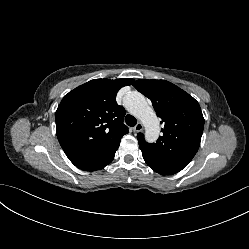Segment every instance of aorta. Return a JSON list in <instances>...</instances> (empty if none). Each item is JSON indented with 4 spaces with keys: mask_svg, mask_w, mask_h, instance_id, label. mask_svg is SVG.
Instances as JSON below:
<instances>
[{
    "mask_svg": "<svg viewBox=\"0 0 249 249\" xmlns=\"http://www.w3.org/2000/svg\"><path fill=\"white\" fill-rule=\"evenodd\" d=\"M125 105L132 115L143 122L147 141H156L160 134V123L155 111L148 105L145 97L137 91L131 92L126 96Z\"/></svg>",
    "mask_w": 249,
    "mask_h": 249,
    "instance_id": "aorta-1",
    "label": "aorta"
}]
</instances>
